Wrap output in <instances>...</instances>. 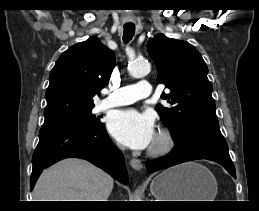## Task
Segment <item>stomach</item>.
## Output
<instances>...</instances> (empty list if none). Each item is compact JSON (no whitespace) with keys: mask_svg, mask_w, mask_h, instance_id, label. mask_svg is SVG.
Instances as JSON below:
<instances>
[{"mask_svg":"<svg viewBox=\"0 0 259 211\" xmlns=\"http://www.w3.org/2000/svg\"><path fill=\"white\" fill-rule=\"evenodd\" d=\"M150 191L158 201H214L217 181L206 167L188 162L158 174Z\"/></svg>","mask_w":259,"mask_h":211,"instance_id":"stomach-1","label":"stomach"}]
</instances>
